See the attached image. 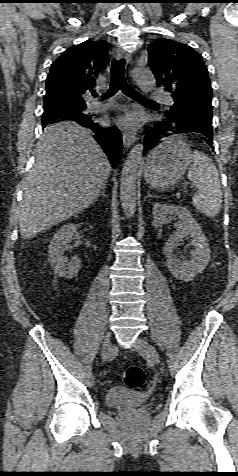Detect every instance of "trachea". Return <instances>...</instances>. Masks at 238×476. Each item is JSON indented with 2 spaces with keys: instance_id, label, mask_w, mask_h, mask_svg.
<instances>
[{
  "instance_id": "obj_1",
  "label": "trachea",
  "mask_w": 238,
  "mask_h": 476,
  "mask_svg": "<svg viewBox=\"0 0 238 476\" xmlns=\"http://www.w3.org/2000/svg\"><path fill=\"white\" fill-rule=\"evenodd\" d=\"M124 67H125V59L122 58L120 60L114 59L111 65V84L109 90L102 95L104 99L114 95L120 89L122 92L136 100V101H144V102H153L138 92H136L126 81L124 75ZM98 94L96 92L93 93V96L96 97Z\"/></svg>"
}]
</instances>
